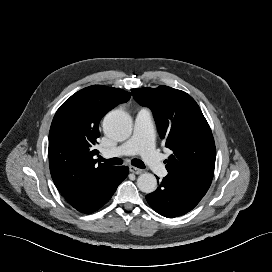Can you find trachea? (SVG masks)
Instances as JSON below:
<instances>
[{"label": "trachea", "instance_id": "1", "mask_svg": "<svg viewBox=\"0 0 272 272\" xmlns=\"http://www.w3.org/2000/svg\"><path fill=\"white\" fill-rule=\"evenodd\" d=\"M100 161L105 162L110 165H121L123 163L122 159L120 158H111V159H104L100 157ZM132 165L138 168H145V164L139 159H133L131 161Z\"/></svg>", "mask_w": 272, "mask_h": 272}]
</instances>
